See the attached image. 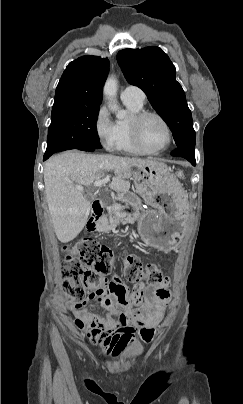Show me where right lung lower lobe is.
I'll return each instance as SVG.
<instances>
[{
  "label": "right lung lower lobe",
  "mask_w": 243,
  "mask_h": 404,
  "mask_svg": "<svg viewBox=\"0 0 243 404\" xmlns=\"http://www.w3.org/2000/svg\"><path fill=\"white\" fill-rule=\"evenodd\" d=\"M77 149L82 150V151H90V152L97 150L95 148H88V147H80V148H77Z\"/></svg>",
  "instance_id": "right-lung-lower-lobe-1"
}]
</instances>
